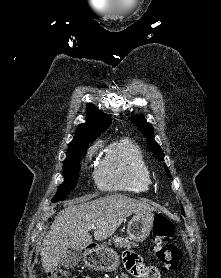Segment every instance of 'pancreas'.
<instances>
[{
	"label": "pancreas",
	"instance_id": "pancreas-1",
	"mask_svg": "<svg viewBox=\"0 0 221 278\" xmlns=\"http://www.w3.org/2000/svg\"><path fill=\"white\" fill-rule=\"evenodd\" d=\"M113 243L115 244V247L117 248H130L131 245H134L127 237H118L115 236L112 238Z\"/></svg>",
	"mask_w": 221,
	"mask_h": 278
}]
</instances>
